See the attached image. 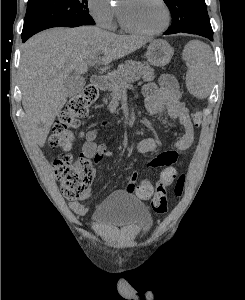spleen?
I'll list each match as a JSON object with an SVG mask.
<instances>
[{
	"mask_svg": "<svg viewBox=\"0 0 245 300\" xmlns=\"http://www.w3.org/2000/svg\"><path fill=\"white\" fill-rule=\"evenodd\" d=\"M184 56L187 61L186 87L197 98H206L211 91L213 55L211 48L198 41L190 42Z\"/></svg>",
	"mask_w": 245,
	"mask_h": 300,
	"instance_id": "3e777b00",
	"label": "spleen"
}]
</instances>
